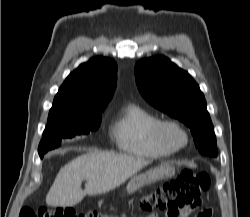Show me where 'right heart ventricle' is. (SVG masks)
<instances>
[{
    "instance_id": "e07e8e85",
    "label": "right heart ventricle",
    "mask_w": 250,
    "mask_h": 217,
    "mask_svg": "<svg viewBox=\"0 0 250 217\" xmlns=\"http://www.w3.org/2000/svg\"><path fill=\"white\" fill-rule=\"evenodd\" d=\"M159 118L144 107L129 103L121 108L111 124L116 147L127 154L143 158H164L172 151L156 139L154 128Z\"/></svg>"
}]
</instances>
